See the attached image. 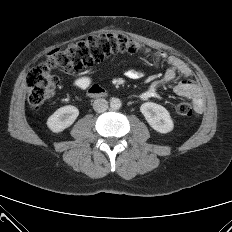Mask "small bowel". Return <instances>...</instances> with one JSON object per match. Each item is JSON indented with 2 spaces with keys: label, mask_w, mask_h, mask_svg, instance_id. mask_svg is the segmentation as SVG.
I'll use <instances>...</instances> for the list:
<instances>
[{
  "label": "small bowel",
  "mask_w": 232,
  "mask_h": 232,
  "mask_svg": "<svg viewBox=\"0 0 232 232\" xmlns=\"http://www.w3.org/2000/svg\"><path fill=\"white\" fill-rule=\"evenodd\" d=\"M162 60H166L168 63V69L165 72L164 77L161 80L153 82L142 94L141 99L148 100L159 97L160 88L172 83L178 75H181L183 79L175 86L174 91L181 97L188 98L192 101L195 111L200 114L203 110V98L200 87L194 82L192 78V71L184 60L177 56L166 55L159 53L156 57V63ZM127 78L131 80H138L144 72L141 68L131 67L125 71ZM72 87L77 91H85L92 88V79L86 75H78L71 81Z\"/></svg>",
  "instance_id": "obj_1"
}]
</instances>
